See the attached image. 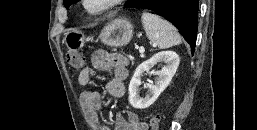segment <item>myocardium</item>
<instances>
[{
    "label": "myocardium",
    "instance_id": "f54148a6",
    "mask_svg": "<svg viewBox=\"0 0 257 130\" xmlns=\"http://www.w3.org/2000/svg\"><path fill=\"white\" fill-rule=\"evenodd\" d=\"M125 0H109L103 7H101L100 9L98 10H90L87 6V0H82L81 3H82V6L84 8V10L90 14V15H101L109 10H111L112 8L120 5L122 2H124Z\"/></svg>",
    "mask_w": 257,
    "mask_h": 130
}]
</instances>
